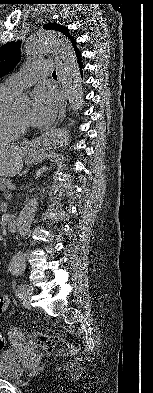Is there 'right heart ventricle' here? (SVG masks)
Wrapping results in <instances>:
<instances>
[{
	"label": "right heart ventricle",
	"instance_id": "obj_1",
	"mask_svg": "<svg viewBox=\"0 0 153 393\" xmlns=\"http://www.w3.org/2000/svg\"><path fill=\"white\" fill-rule=\"evenodd\" d=\"M16 92L0 86V145L10 143L19 137V132L12 123V101Z\"/></svg>",
	"mask_w": 153,
	"mask_h": 393
}]
</instances>
